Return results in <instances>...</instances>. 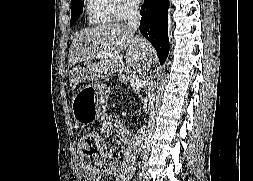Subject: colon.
Here are the masks:
<instances>
[{"label":"colon","mask_w":253,"mask_h":181,"mask_svg":"<svg viewBox=\"0 0 253 181\" xmlns=\"http://www.w3.org/2000/svg\"><path fill=\"white\" fill-rule=\"evenodd\" d=\"M79 155L83 169L86 172H94L105 160V144L96 134H85L79 143Z\"/></svg>","instance_id":"5ec220e1"}]
</instances>
